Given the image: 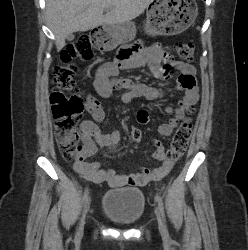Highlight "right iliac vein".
I'll use <instances>...</instances> for the list:
<instances>
[{
    "label": "right iliac vein",
    "mask_w": 248,
    "mask_h": 250,
    "mask_svg": "<svg viewBox=\"0 0 248 250\" xmlns=\"http://www.w3.org/2000/svg\"><path fill=\"white\" fill-rule=\"evenodd\" d=\"M89 205H90V199L87 198V201H86L83 213H82V218H81V221H80L79 232L83 231L84 224H85V216H86V214H87V212L89 210Z\"/></svg>",
    "instance_id": "1"
}]
</instances>
